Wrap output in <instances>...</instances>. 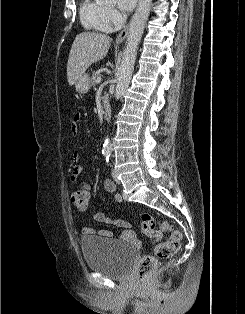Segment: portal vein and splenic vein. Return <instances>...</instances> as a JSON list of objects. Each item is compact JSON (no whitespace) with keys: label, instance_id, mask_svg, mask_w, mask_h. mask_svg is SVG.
Listing matches in <instances>:
<instances>
[{"label":"portal vein and splenic vein","instance_id":"portal-vein-and-splenic-vein-1","mask_svg":"<svg viewBox=\"0 0 245 314\" xmlns=\"http://www.w3.org/2000/svg\"><path fill=\"white\" fill-rule=\"evenodd\" d=\"M101 82V77H98L97 78V83H100Z\"/></svg>","mask_w":245,"mask_h":314}]
</instances>
